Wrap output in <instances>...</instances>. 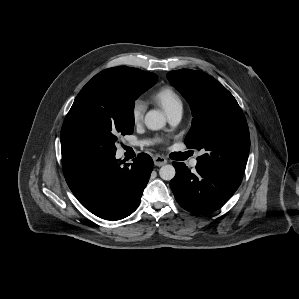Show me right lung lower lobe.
Masks as SVG:
<instances>
[{"label":"right lung lower lobe","instance_id":"obj_1","mask_svg":"<svg viewBox=\"0 0 299 299\" xmlns=\"http://www.w3.org/2000/svg\"><path fill=\"white\" fill-rule=\"evenodd\" d=\"M66 182L79 202L96 216L120 220L139 206L153 168V160L140 153L133 163L111 156L62 152Z\"/></svg>","mask_w":299,"mask_h":299}]
</instances>
